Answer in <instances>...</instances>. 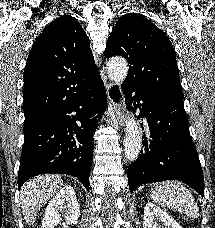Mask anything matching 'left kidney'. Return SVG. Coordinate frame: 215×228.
Wrapping results in <instances>:
<instances>
[{"mask_svg": "<svg viewBox=\"0 0 215 228\" xmlns=\"http://www.w3.org/2000/svg\"><path fill=\"white\" fill-rule=\"evenodd\" d=\"M164 226H167V228H181L172 216L160 210L155 204L148 202L144 208L143 228H164Z\"/></svg>", "mask_w": 215, "mask_h": 228, "instance_id": "obj_1", "label": "left kidney"}]
</instances>
